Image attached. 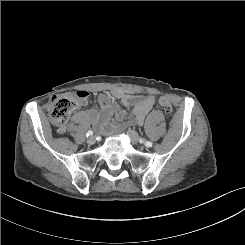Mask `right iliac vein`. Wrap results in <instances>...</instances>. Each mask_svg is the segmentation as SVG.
<instances>
[{
	"instance_id": "63e3f726",
	"label": "right iliac vein",
	"mask_w": 245,
	"mask_h": 245,
	"mask_svg": "<svg viewBox=\"0 0 245 245\" xmlns=\"http://www.w3.org/2000/svg\"><path fill=\"white\" fill-rule=\"evenodd\" d=\"M96 142V137L95 136H90L88 139H87V143L92 145Z\"/></svg>"
}]
</instances>
